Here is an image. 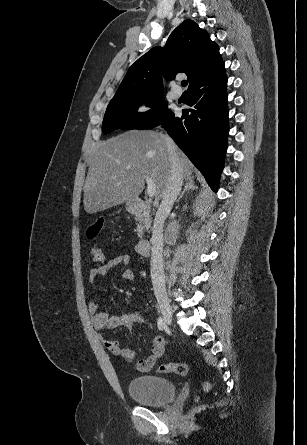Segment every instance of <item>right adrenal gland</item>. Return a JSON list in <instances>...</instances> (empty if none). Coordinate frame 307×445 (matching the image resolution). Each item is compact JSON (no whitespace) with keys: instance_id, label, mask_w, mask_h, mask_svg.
Returning a JSON list of instances; mask_svg holds the SVG:
<instances>
[{"instance_id":"1","label":"right adrenal gland","mask_w":307,"mask_h":445,"mask_svg":"<svg viewBox=\"0 0 307 445\" xmlns=\"http://www.w3.org/2000/svg\"><path fill=\"white\" fill-rule=\"evenodd\" d=\"M195 188H199V186H195L194 176H190V178H188L179 198H177L176 202H179L180 198H182V196H184L185 192H189V190H195Z\"/></svg>"}]
</instances>
